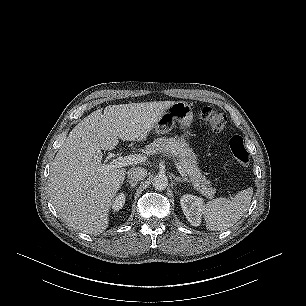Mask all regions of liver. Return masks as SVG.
<instances>
[{
    "label": "liver",
    "mask_w": 306,
    "mask_h": 306,
    "mask_svg": "<svg viewBox=\"0 0 306 306\" xmlns=\"http://www.w3.org/2000/svg\"><path fill=\"white\" fill-rule=\"evenodd\" d=\"M174 101L109 105L85 117L60 147L49 175V193L61 218L74 229L100 234L126 174L102 165V149L122 141H144L159 116Z\"/></svg>",
    "instance_id": "obj_1"
}]
</instances>
